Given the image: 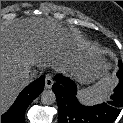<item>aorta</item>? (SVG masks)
Instances as JSON below:
<instances>
[{"instance_id": "obj_1", "label": "aorta", "mask_w": 123, "mask_h": 123, "mask_svg": "<svg viewBox=\"0 0 123 123\" xmlns=\"http://www.w3.org/2000/svg\"><path fill=\"white\" fill-rule=\"evenodd\" d=\"M40 97L41 102L45 105H51L56 101V96L52 90H44Z\"/></svg>"}]
</instances>
